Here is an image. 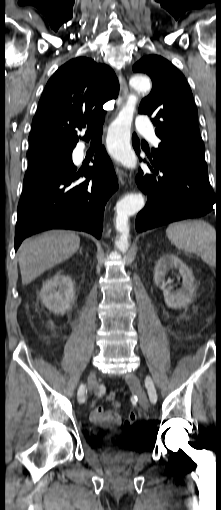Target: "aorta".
Wrapping results in <instances>:
<instances>
[{
	"label": "aorta",
	"mask_w": 221,
	"mask_h": 510,
	"mask_svg": "<svg viewBox=\"0 0 221 510\" xmlns=\"http://www.w3.org/2000/svg\"><path fill=\"white\" fill-rule=\"evenodd\" d=\"M130 85L137 93L147 92L151 87L149 79L143 75L133 76ZM137 101L135 95H129L125 106L111 124L107 137V146L113 158L129 169L135 168L137 164L136 155L130 145L131 124ZM144 205V198L138 193L125 195L116 204L115 224L120 234L117 248L122 252L129 248V217L139 212Z\"/></svg>",
	"instance_id": "aorta-1"
}]
</instances>
